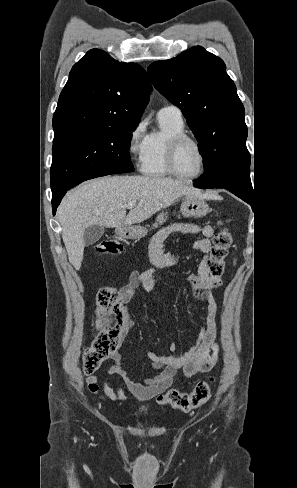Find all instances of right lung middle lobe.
<instances>
[{"label": "right lung middle lobe", "instance_id": "right-lung-middle-lobe-1", "mask_svg": "<svg viewBox=\"0 0 297 488\" xmlns=\"http://www.w3.org/2000/svg\"><path fill=\"white\" fill-rule=\"evenodd\" d=\"M135 128L99 127L54 135L52 199L96 176L132 172L129 148Z\"/></svg>", "mask_w": 297, "mask_h": 488}]
</instances>
